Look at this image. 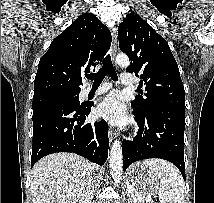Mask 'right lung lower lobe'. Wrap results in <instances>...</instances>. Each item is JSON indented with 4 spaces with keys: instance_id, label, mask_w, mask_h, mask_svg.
I'll use <instances>...</instances> for the list:
<instances>
[{
    "instance_id": "1",
    "label": "right lung lower lobe",
    "mask_w": 214,
    "mask_h": 203,
    "mask_svg": "<svg viewBox=\"0 0 214 203\" xmlns=\"http://www.w3.org/2000/svg\"><path fill=\"white\" fill-rule=\"evenodd\" d=\"M92 105L55 104L33 112L31 167L42 157L71 152L103 165L108 157L106 121L86 123Z\"/></svg>"
}]
</instances>
